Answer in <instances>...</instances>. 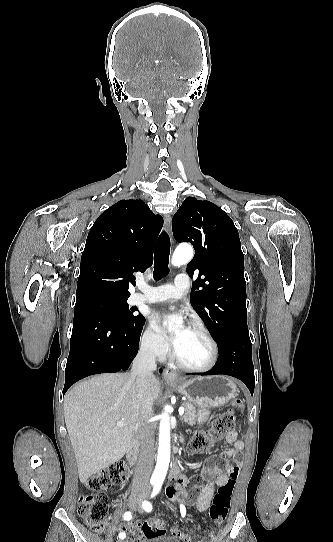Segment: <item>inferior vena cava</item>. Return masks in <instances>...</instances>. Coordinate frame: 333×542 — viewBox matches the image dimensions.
<instances>
[{
    "label": "inferior vena cava",
    "mask_w": 333,
    "mask_h": 542,
    "mask_svg": "<svg viewBox=\"0 0 333 542\" xmlns=\"http://www.w3.org/2000/svg\"><path fill=\"white\" fill-rule=\"evenodd\" d=\"M156 356L149 350H140L137 354L131 374L136 376V388L139 394V408L143 412V418L137 424L138 438L140 440V452L134 470L132 488H150L149 480L153 470L155 448H154V426L148 422L152 414L153 398L149 390V384L155 376Z\"/></svg>",
    "instance_id": "1"
}]
</instances>
